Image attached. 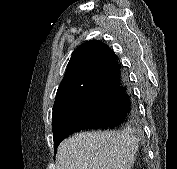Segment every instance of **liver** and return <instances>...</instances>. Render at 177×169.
I'll list each match as a JSON object with an SVG mask.
<instances>
[{
  "label": "liver",
  "mask_w": 177,
  "mask_h": 169,
  "mask_svg": "<svg viewBox=\"0 0 177 169\" xmlns=\"http://www.w3.org/2000/svg\"><path fill=\"white\" fill-rule=\"evenodd\" d=\"M137 150L129 129L81 132L59 145L56 169H131Z\"/></svg>",
  "instance_id": "1"
}]
</instances>
